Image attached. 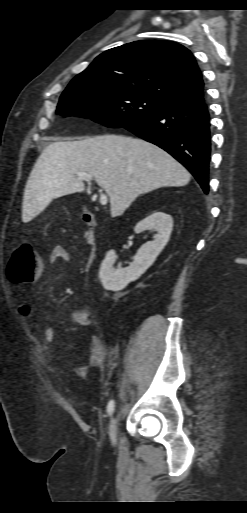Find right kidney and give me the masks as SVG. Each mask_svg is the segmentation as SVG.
<instances>
[{"label":"right kidney","mask_w":247,"mask_h":513,"mask_svg":"<svg viewBox=\"0 0 247 513\" xmlns=\"http://www.w3.org/2000/svg\"><path fill=\"white\" fill-rule=\"evenodd\" d=\"M173 228V219L164 212H154L134 228L135 233L144 230H156L154 239L143 244L134 257L132 264L126 268L115 269L116 261L114 250L109 251L103 260L99 278L106 290L119 291L127 286L130 281L138 279L156 260L169 241Z\"/></svg>","instance_id":"obj_1"}]
</instances>
